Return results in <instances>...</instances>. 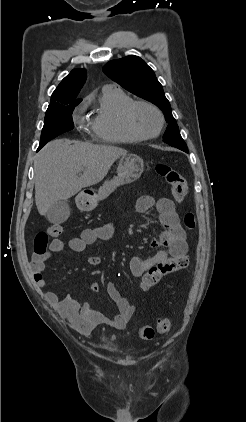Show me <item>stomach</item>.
I'll list each match as a JSON object with an SVG mask.
<instances>
[{
	"mask_svg": "<svg viewBox=\"0 0 246 422\" xmlns=\"http://www.w3.org/2000/svg\"><path fill=\"white\" fill-rule=\"evenodd\" d=\"M144 170V162L141 157L135 154L125 155L120 159L117 176L105 183L91 193L82 192L77 197V205L81 210H93L99 201L107 198L117 187L130 184L140 178Z\"/></svg>",
	"mask_w": 246,
	"mask_h": 422,
	"instance_id": "stomach-1",
	"label": "stomach"
}]
</instances>
